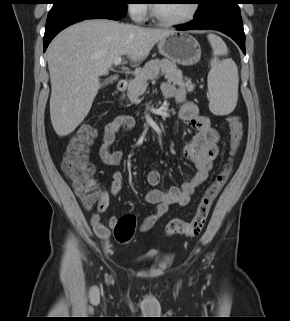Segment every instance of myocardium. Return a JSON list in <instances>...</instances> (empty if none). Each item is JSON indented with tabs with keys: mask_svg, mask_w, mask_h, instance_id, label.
Wrapping results in <instances>:
<instances>
[{
	"mask_svg": "<svg viewBox=\"0 0 290 321\" xmlns=\"http://www.w3.org/2000/svg\"><path fill=\"white\" fill-rule=\"evenodd\" d=\"M198 9H199V4L197 3L196 0H193L191 11L186 17L177 19V20H168L159 16L156 9V2H153L150 4V14L154 22L157 23L158 25L166 26V27L180 26V25L189 23L197 15Z\"/></svg>",
	"mask_w": 290,
	"mask_h": 321,
	"instance_id": "f54148a6",
	"label": "myocardium"
}]
</instances>
